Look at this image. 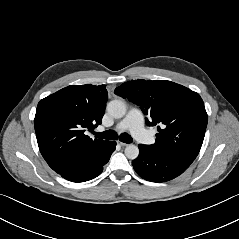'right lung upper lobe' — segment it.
Here are the masks:
<instances>
[{"label": "right lung upper lobe", "instance_id": "right-lung-upper-lobe-1", "mask_svg": "<svg viewBox=\"0 0 239 239\" xmlns=\"http://www.w3.org/2000/svg\"><path fill=\"white\" fill-rule=\"evenodd\" d=\"M108 99L105 85H70L42 99L34 119L40 152L55 171L74 156H94L108 141L86 130L101 124Z\"/></svg>", "mask_w": 239, "mask_h": 239}]
</instances>
